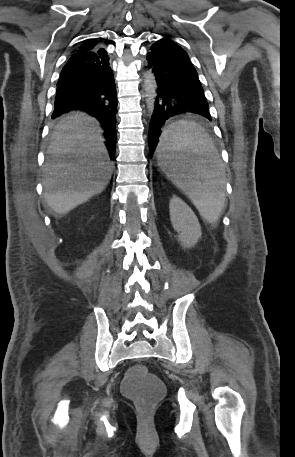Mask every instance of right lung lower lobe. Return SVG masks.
Instances as JSON below:
<instances>
[{
	"mask_svg": "<svg viewBox=\"0 0 295 457\" xmlns=\"http://www.w3.org/2000/svg\"><path fill=\"white\" fill-rule=\"evenodd\" d=\"M116 106V88L107 52L95 48L73 54L57 83L52 118L71 110H83L97 118L105 130V143L112 159L116 147Z\"/></svg>",
	"mask_w": 295,
	"mask_h": 457,
	"instance_id": "obj_1",
	"label": "right lung lower lobe"
}]
</instances>
